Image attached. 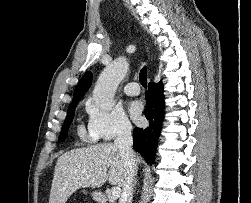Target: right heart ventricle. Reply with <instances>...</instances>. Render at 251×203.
<instances>
[{"label": "right heart ventricle", "instance_id": "obj_1", "mask_svg": "<svg viewBox=\"0 0 251 203\" xmlns=\"http://www.w3.org/2000/svg\"><path fill=\"white\" fill-rule=\"evenodd\" d=\"M78 135L80 139L85 142H93L96 139L92 133H86L85 129L81 125L78 127Z\"/></svg>", "mask_w": 251, "mask_h": 203}]
</instances>
